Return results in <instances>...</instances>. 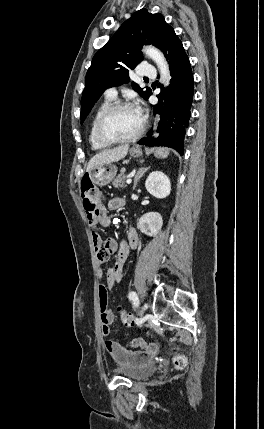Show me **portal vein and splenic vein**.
Instances as JSON below:
<instances>
[{
  "mask_svg": "<svg viewBox=\"0 0 264 429\" xmlns=\"http://www.w3.org/2000/svg\"><path fill=\"white\" fill-rule=\"evenodd\" d=\"M131 182H132V178L131 177L127 178L126 183L130 184Z\"/></svg>",
  "mask_w": 264,
  "mask_h": 429,
  "instance_id": "portal-vein-and-splenic-vein-1",
  "label": "portal vein and splenic vein"
}]
</instances>
